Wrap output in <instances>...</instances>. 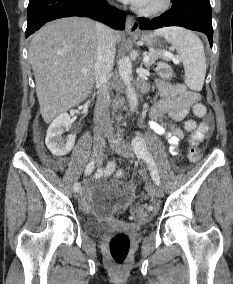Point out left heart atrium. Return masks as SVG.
<instances>
[{
  "mask_svg": "<svg viewBox=\"0 0 233 284\" xmlns=\"http://www.w3.org/2000/svg\"><path fill=\"white\" fill-rule=\"evenodd\" d=\"M123 2H126V3H131L135 6H142L146 0H121Z\"/></svg>",
  "mask_w": 233,
  "mask_h": 284,
  "instance_id": "1",
  "label": "left heart atrium"
}]
</instances>
